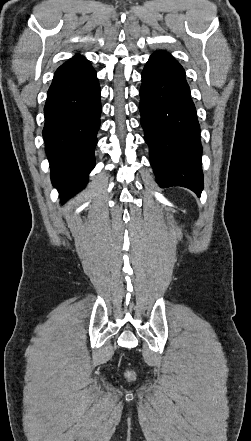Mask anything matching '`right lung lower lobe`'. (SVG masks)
<instances>
[{"mask_svg":"<svg viewBox=\"0 0 251 441\" xmlns=\"http://www.w3.org/2000/svg\"><path fill=\"white\" fill-rule=\"evenodd\" d=\"M100 86L91 65L55 72L44 107L51 180L63 200L79 192L95 165Z\"/></svg>","mask_w":251,"mask_h":441,"instance_id":"1","label":"right lung lower lobe"}]
</instances>
